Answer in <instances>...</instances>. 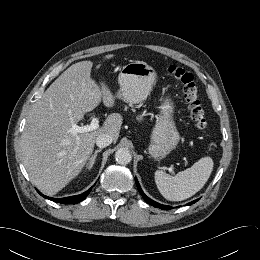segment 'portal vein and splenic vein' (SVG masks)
<instances>
[{
	"instance_id": "18ae733b",
	"label": "portal vein and splenic vein",
	"mask_w": 260,
	"mask_h": 260,
	"mask_svg": "<svg viewBox=\"0 0 260 260\" xmlns=\"http://www.w3.org/2000/svg\"><path fill=\"white\" fill-rule=\"evenodd\" d=\"M99 128V119L93 118L89 125L78 126L73 123L70 132L77 135L79 133L91 132Z\"/></svg>"
}]
</instances>
